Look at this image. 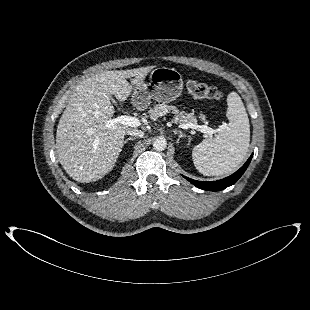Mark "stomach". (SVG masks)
<instances>
[{
	"mask_svg": "<svg viewBox=\"0 0 310 310\" xmlns=\"http://www.w3.org/2000/svg\"><path fill=\"white\" fill-rule=\"evenodd\" d=\"M149 82L143 79L133 86L132 100L136 107L146 108L150 100L170 103L178 98L183 90V79L174 68L157 67L152 70Z\"/></svg>",
	"mask_w": 310,
	"mask_h": 310,
	"instance_id": "stomach-1",
	"label": "stomach"
}]
</instances>
